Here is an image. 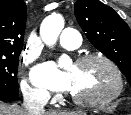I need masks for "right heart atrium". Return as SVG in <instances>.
Wrapping results in <instances>:
<instances>
[{
    "label": "right heart atrium",
    "instance_id": "obj_1",
    "mask_svg": "<svg viewBox=\"0 0 131 115\" xmlns=\"http://www.w3.org/2000/svg\"><path fill=\"white\" fill-rule=\"evenodd\" d=\"M24 96L32 100H45L49 97L46 89L39 86H32L27 80H23L21 84Z\"/></svg>",
    "mask_w": 131,
    "mask_h": 115
}]
</instances>
